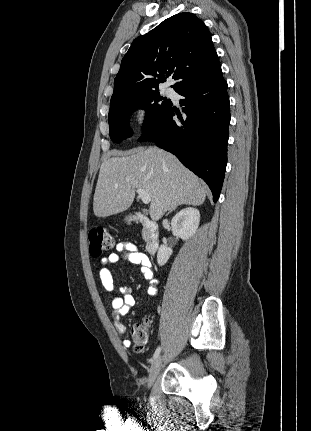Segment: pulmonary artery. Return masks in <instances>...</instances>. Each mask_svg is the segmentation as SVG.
<instances>
[{
	"label": "pulmonary artery",
	"mask_w": 311,
	"mask_h": 431,
	"mask_svg": "<svg viewBox=\"0 0 311 431\" xmlns=\"http://www.w3.org/2000/svg\"><path fill=\"white\" fill-rule=\"evenodd\" d=\"M166 92L169 94V93H171V90H170V89H167V90H166Z\"/></svg>",
	"instance_id": "1"
}]
</instances>
